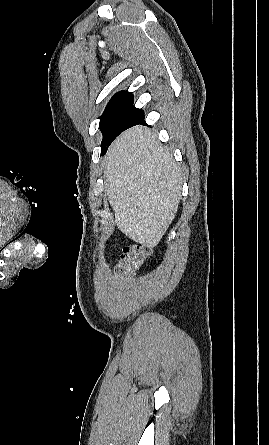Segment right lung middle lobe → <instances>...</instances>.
Listing matches in <instances>:
<instances>
[{"label":"right lung middle lobe","instance_id":"1","mask_svg":"<svg viewBox=\"0 0 269 445\" xmlns=\"http://www.w3.org/2000/svg\"><path fill=\"white\" fill-rule=\"evenodd\" d=\"M144 117V111L133 106V94L127 91L116 93L107 104L101 118L103 134L101 154L107 151L113 140L127 128L136 125Z\"/></svg>","mask_w":269,"mask_h":445}]
</instances>
